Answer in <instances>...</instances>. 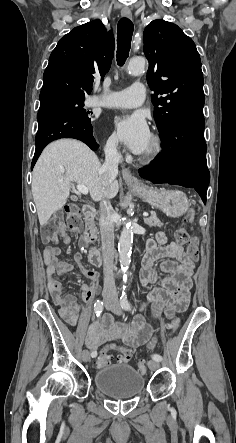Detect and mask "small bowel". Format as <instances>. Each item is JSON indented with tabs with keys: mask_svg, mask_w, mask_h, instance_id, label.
<instances>
[{
	"mask_svg": "<svg viewBox=\"0 0 236 443\" xmlns=\"http://www.w3.org/2000/svg\"><path fill=\"white\" fill-rule=\"evenodd\" d=\"M65 244H70L71 239L65 235L62 238ZM164 233L159 232L155 240H150L146 245V254L142 261L139 278L142 285L156 283L159 276L154 268L156 260L164 258L161 269L173 274L161 280L162 286L154 289L147 297V303L152 306V315L159 317L162 313L172 318L176 312L187 309L192 286L191 277L194 273V264L181 245L172 242L166 245ZM84 240L80 246L84 247ZM60 249L47 247L44 249V264L48 289L55 304L59 307L62 317L72 326L76 325L79 312V298L74 295H65L62 283L56 275H64L72 271L73 266L59 259ZM75 262L81 272L93 280V284H81L82 298L88 299L99 289V275L94 270L83 265L81 253L74 255ZM146 304H143V308ZM153 328L145 322L142 315L137 316L131 325L120 327L114 322L109 313L102 314L89 327L86 336V345L93 352L106 342H122L131 349L144 344L151 345Z\"/></svg>",
	"mask_w": 236,
	"mask_h": 443,
	"instance_id": "1",
	"label": "small bowel"
}]
</instances>
